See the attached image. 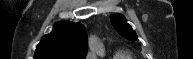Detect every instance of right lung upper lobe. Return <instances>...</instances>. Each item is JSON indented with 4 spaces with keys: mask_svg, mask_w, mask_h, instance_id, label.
<instances>
[{
    "mask_svg": "<svg viewBox=\"0 0 193 59\" xmlns=\"http://www.w3.org/2000/svg\"><path fill=\"white\" fill-rule=\"evenodd\" d=\"M87 34L80 23L58 22L37 45L34 59H85Z\"/></svg>",
    "mask_w": 193,
    "mask_h": 59,
    "instance_id": "cb5924a9",
    "label": "right lung upper lobe"
}]
</instances>
